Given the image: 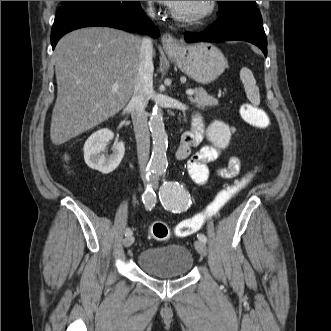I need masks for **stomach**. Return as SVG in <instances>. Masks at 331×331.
<instances>
[{
    "label": "stomach",
    "mask_w": 331,
    "mask_h": 331,
    "mask_svg": "<svg viewBox=\"0 0 331 331\" xmlns=\"http://www.w3.org/2000/svg\"><path fill=\"white\" fill-rule=\"evenodd\" d=\"M169 56L182 72L201 84L213 82L227 67L221 50L207 42L181 45Z\"/></svg>",
    "instance_id": "1"
}]
</instances>
